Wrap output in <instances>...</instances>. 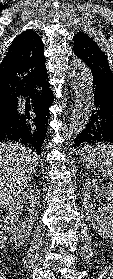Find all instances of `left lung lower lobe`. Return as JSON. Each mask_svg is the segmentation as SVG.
Returning <instances> with one entry per match:
<instances>
[{"mask_svg": "<svg viewBox=\"0 0 113 279\" xmlns=\"http://www.w3.org/2000/svg\"><path fill=\"white\" fill-rule=\"evenodd\" d=\"M93 76L94 108L84 130L74 140V147L91 143L113 144V82Z\"/></svg>", "mask_w": 113, "mask_h": 279, "instance_id": "0a47b994", "label": "left lung lower lobe"}]
</instances>
